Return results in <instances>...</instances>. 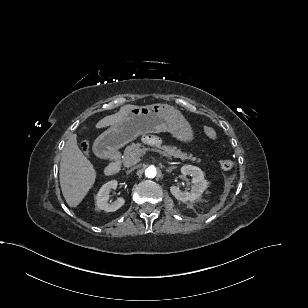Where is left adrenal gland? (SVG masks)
Returning a JSON list of instances; mask_svg holds the SVG:
<instances>
[{"mask_svg": "<svg viewBox=\"0 0 308 308\" xmlns=\"http://www.w3.org/2000/svg\"><path fill=\"white\" fill-rule=\"evenodd\" d=\"M173 169H175V168H174V167L167 168V169H166V172H167V173H171V172L173 171Z\"/></svg>", "mask_w": 308, "mask_h": 308, "instance_id": "a2214340", "label": "left adrenal gland"}]
</instances>
